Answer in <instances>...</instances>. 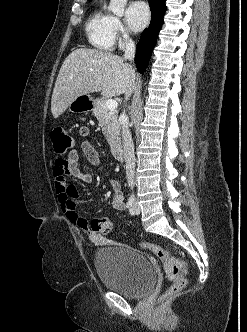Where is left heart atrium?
<instances>
[{"instance_id": "1", "label": "left heart atrium", "mask_w": 247, "mask_h": 332, "mask_svg": "<svg viewBox=\"0 0 247 332\" xmlns=\"http://www.w3.org/2000/svg\"><path fill=\"white\" fill-rule=\"evenodd\" d=\"M126 23L134 31L143 29L149 22L150 12L147 4L142 1H134L126 10Z\"/></svg>"}]
</instances>
